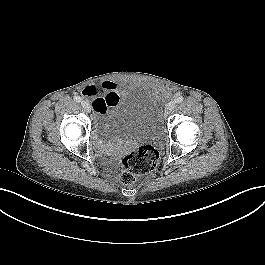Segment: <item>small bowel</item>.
I'll return each instance as SVG.
<instances>
[{"label":"small bowel","instance_id":"small-bowel-1","mask_svg":"<svg viewBox=\"0 0 265 265\" xmlns=\"http://www.w3.org/2000/svg\"><path fill=\"white\" fill-rule=\"evenodd\" d=\"M125 88L126 86L122 83L107 80L100 85H86L82 90V94L86 98H93V109L95 112L102 114L117 102ZM158 93L161 99H165L168 95V92L161 87H158Z\"/></svg>","mask_w":265,"mask_h":265}]
</instances>
